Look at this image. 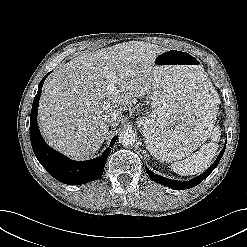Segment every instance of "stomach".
Returning a JSON list of instances; mask_svg holds the SVG:
<instances>
[{
  "label": "stomach",
  "mask_w": 247,
  "mask_h": 247,
  "mask_svg": "<svg viewBox=\"0 0 247 247\" xmlns=\"http://www.w3.org/2000/svg\"><path fill=\"white\" fill-rule=\"evenodd\" d=\"M153 67L151 112L137 123L156 159L181 160L209 137L218 97L200 60L186 50H165Z\"/></svg>",
  "instance_id": "obj_1"
}]
</instances>
